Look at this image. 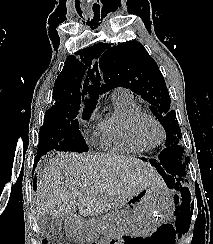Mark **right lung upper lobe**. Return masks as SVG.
Here are the masks:
<instances>
[{"label": "right lung upper lobe", "instance_id": "obj_1", "mask_svg": "<svg viewBox=\"0 0 213 244\" xmlns=\"http://www.w3.org/2000/svg\"><path fill=\"white\" fill-rule=\"evenodd\" d=\"M96 66L95 63L92 67V60L79 61L75 56H69L55 81L53 89L55 104L52 107L84 105L94 108L100 94L99 84L92 85L95 83L93 70Z\"/></svg>", "mask_w": 213, "mask_h": 244}]
</instances>
